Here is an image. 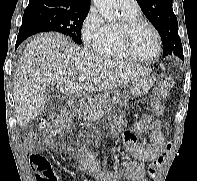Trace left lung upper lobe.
Returning a JSON list of instances; mask_svg holds the SVG:
<instances>
[{"label": "left lung upper lobe", "instance_id": "left-lung-upper-lobe-1", "mask_svg": "<svg viewBox=\"0 0 197 181\" xmlns=\"http://www.w3.org/2000/svg\"><path fill=\"white\" fill-rule=\"evenodd\" d=\"M142 12L158 30L163 56L174 54L184 61L183 49L178 35L177 18L172 9V0H137Z\"/></svg>", "mask_w": 197, "mask_h": 181}]
</instances>
